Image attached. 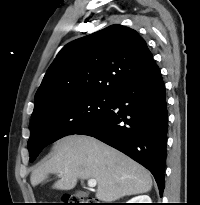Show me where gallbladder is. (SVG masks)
<instances>
[{
	"label": "gallbladder",
	"mask_w": 200,
	"mask_h": 205,
	"mask_svg": "<svg viewBox=\"0 0 200 205\" xmlns=\"http://www.w3.org/2000/svg\"><path fill=\"white\" fill-rule=\"evenodd\" d=\"M76 194H77V196H79V197H82V196H84V195H85V193L80 192V191H79V192H77Z\"/></svg>",
	"instance_id": "gallbladder-1"
}]
</instances>
